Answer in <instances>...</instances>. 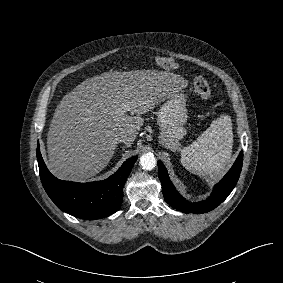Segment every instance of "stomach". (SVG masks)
Masks as SVG:
<instances>
[{
	"label": "stomach",
	"instance_id": "obj_1",
	"mask_svg": "<svg viewBox=\"0 0 283 283\" xmlns=\"http://www.w3.org/2000/svg\"><path fill=\"white\" fill-rule=\"evenodd\" d=\"M186 99L183 94L173 93L158 112L160 127L159 143L175 150L186 135L184 125L188 118Z\"/></svg>",
	"mask_w": 283,
	"mask_h": 283
}]
</instances>
